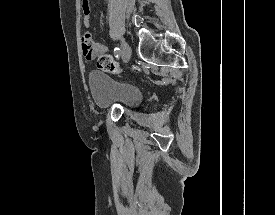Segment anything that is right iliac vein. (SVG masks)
Here are the masks:
<instances>
[{
  "label": "right iliac vein",
  "mask_w": 275,
  "mask_h": 215,
  "mask_svg": "<svg viewBox=\"0 0 275 215\" xmlns=\"http://www.w3.org/2000/svg\"><path fill=\"white\" fill-rule=\"evenodd\" d=\"M122 52H121V56L122 59L127 62L130 59L131 56V48L129 47V45L125 42L122 41Z\"/></svg>",
  "instance_id": "right-iliac-vein-1"
}]
</instances>
